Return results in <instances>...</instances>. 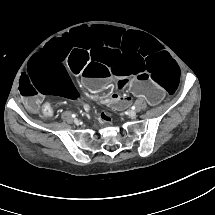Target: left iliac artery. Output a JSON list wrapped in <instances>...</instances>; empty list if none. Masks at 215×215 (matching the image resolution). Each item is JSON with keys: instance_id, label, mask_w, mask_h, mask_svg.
<instances>
[{"instance_id": "obj_1", "label": "left iliac artery", "mask_w": 215, "mask_h": 215, "mask_svg": "<svg viewBox=\"0 0 215 215\" xmlns=\"http://www.w3.org/2000/svg\"><path fill=\"white\" fill-rule=\"evenodd\" d=\"M131 109H132V110H135V109H136V107H135V106H132V107H131Z\"/></svg>"}]
</instances>
